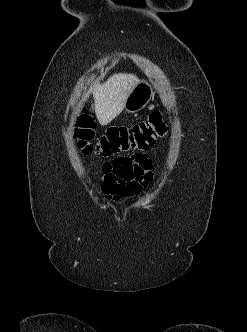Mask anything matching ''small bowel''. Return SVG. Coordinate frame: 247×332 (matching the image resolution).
Returning a JSON list of instances; mask_svg holds the SVG:
<instances>
[{
  "mask_svg": "<svg viewBox=\"0 0 247 332\" xmlns=\"http://www.w3.org/2000/svg\"><path fill=\"white\" fill-rule=\"evenodd\" d=\"M101 189L107 199H129L153 179V160L146 153L118 157L103 165Z\"/></svg>",
  "mask_w": 247,
  "mask_h": 332,
  "instance_id": "c3829d8e",
  "label": "small bowel"
}]
</instances>
